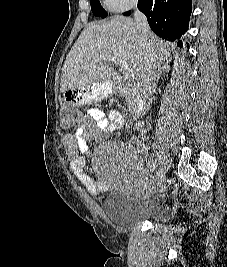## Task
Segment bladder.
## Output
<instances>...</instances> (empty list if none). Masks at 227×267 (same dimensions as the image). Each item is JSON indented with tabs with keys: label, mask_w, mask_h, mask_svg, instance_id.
<instances>
[{
	"label": "bladder",
	"mask_w": 227,
	"mask_h": 267,
	"mask_svg": "<svg viewBox=\"0 0 227 267\" xmlns=\"http://www.w3.org/2000/svg\"><path fill=\"white\" fill-rule=\"evenodd\" d=\"M104 210L110 221L124 228L141 222H165L171 216L168 206L156 201L143 202L118 188L108 191Z\"/></svg>",
	"instance_id": "obj_1"
}]
</instances>
